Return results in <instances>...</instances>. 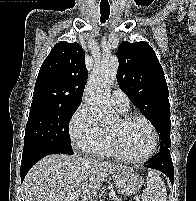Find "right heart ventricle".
Masks as SVG:
<instances>
[{
    "mask_svg": "<svg viewBox=\"0 0 196 201\" xmlns=\"http://www.w3.org/2000/svg\"><path fill=\"white\" fill-rule=\"evenodd\" d=\"M104 131L106 134L105 142L95 154L102 158L119 157L113 145L110 132L108 130Z\"/></svg>",
    "mask_w": 196,
    "mask_h": 201,
    "instance_id": "right-heart-ventricle-1",
    "label": "right heart ventricle"
}]
</instances>
